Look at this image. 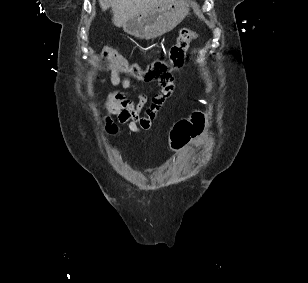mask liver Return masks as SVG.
Segmentation results:
<instances>
[{
    "label": "liver",
    "mask_w": 308,
    "mask_h": 283,
    "mask_svg": "<svg viewBox=\"0 0 308 283\" xmlns=\"http://www.w3.org/2000/svg\"><path fill=\"white\" fill-rule=\"evenodd\" d=\"M169 0H99L102 8L111 7L113 11V23L115 26H123L131 17Z\"/></svg>",
    "instance_id": "6515ba94"
}]
</instances>
